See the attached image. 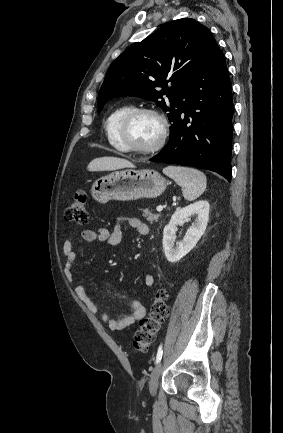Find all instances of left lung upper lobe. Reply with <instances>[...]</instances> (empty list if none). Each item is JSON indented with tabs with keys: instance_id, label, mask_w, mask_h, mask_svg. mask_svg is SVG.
<instances>
[{
	"instance_id": "obj_1",
	"label": "left lung upper lobe",
	"mask_w": 283,
	"mask_h": 433,
	"mask_svg": "<svg viewBox=\"0 0 283 433\" xmlns=\"http://www.w3.org/2000/svg\"><path fill=\"white\" fill-rule=\"evenodd\" d=\"M215 44L209 30L194 19L165 24L110 65L98 94V112L108 100L130 95L156 102L170 112L171 123L176 121L187 107L190 82Z\"/></svg>"
}]
</instances>
